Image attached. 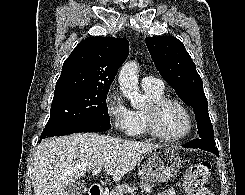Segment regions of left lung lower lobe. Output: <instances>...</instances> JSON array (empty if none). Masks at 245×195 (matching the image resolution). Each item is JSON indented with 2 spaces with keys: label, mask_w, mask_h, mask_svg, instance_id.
<instances>
[{
  "label": "left lung lower lobe",
  "mask_w": 245,
  "mask_h": 195,
  "mask_svg": "<svg viewBox=\"0 0 245 195\" xmlns=\"http://www.w3.org/2000/svg\"><path fill=\"white\" fill-rule=\"evenodd\" d=\"M215 145L211 144L210 142H208L206 140L199 138V139H195V140L190 141L189 143L183 145V147H185V148H199L202 150L213 152L214 154L219 156L218 149H217V147H215Z\"/></svg>",
  "instance_id": "obj_1"
}]
</instances>
